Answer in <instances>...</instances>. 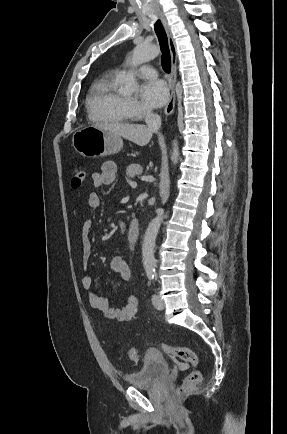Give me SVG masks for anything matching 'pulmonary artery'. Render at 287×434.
<instances>
[{
  "instance_id": "obj_1",
  "label": "pulmonary artery",
  "mask_w": 287,
  "mask_h": 434,
  "mask_svg": "<svg viewBox=\"0 0 287 434\" xmlns=\"http://www.w3.org/2000/svg\"><path fill=\"white\" fill-rule=\"evenodd\" d=\"M137 75L142 78L153 79L157 77L156 71L149 66H141L136 71Z\"/></svg>"
}]
</instances>
